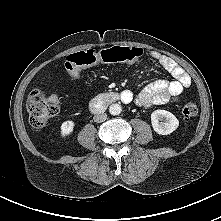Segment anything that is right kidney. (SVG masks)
<instances>
[{"label": "right kidney", "instance_id": "1", "mask_svg": "<svg viewBox=\"0 0 221 221\" xmlns=\"http://www.w3.org/2000/svg\"><path fill=\"white\" fill-rule=\"evenodd\" d=\"M74 122L73 121H65L62 123L61 125V131H60V134H61V137H66L68 135H70L73 130H74Z\"/></svg>", "mask_w": 221, "mask_h": 221}]
</instances>
